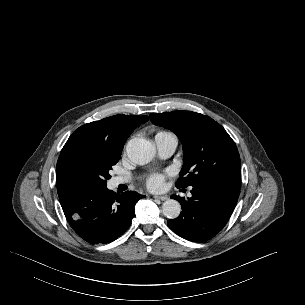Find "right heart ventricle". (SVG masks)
I'll use <instances>...</instances> for the list:
<instances>
[{
	"instance_id": "right-heart-ventricle-1",
	"label": "right heart ventricle",
	"mask_w": 305,
	"mask_h": 305,
	"mask_svg": "<svg viewBox=\"0 0 305 305\" xmlns=\"http://www.w3.org/2000/svg\"><path fill=\"white\" fill-rule=\"evenodd\" d=\"M161 134H170V133H167V132H164V131H161V132H158V133H157V135H161ZM157 135H156V136H157Z\"/></svg>"
}]
</instances>
